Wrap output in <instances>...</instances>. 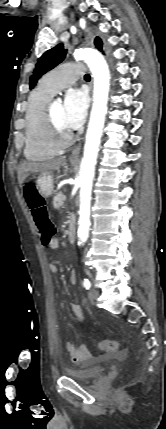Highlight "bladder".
<instances>
[{"label":"bladder","instance_id":"31cf9c89","mask_svg":"<svg viewBox=\"0 0 166 429\" xmlns=\"http://www.w3.org/2000/svg\"><path fill=\"white\" fill-rule=\"evenodd\" d=\"M105 370L106 366H94L79 370H65V374L76 381L89 382L102 376Z\"/></svg>","mask_w":166,"mask_h":429}]
</instances>
